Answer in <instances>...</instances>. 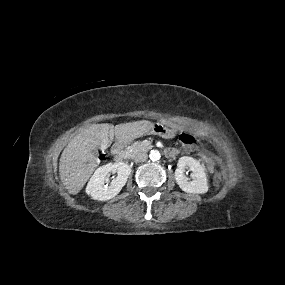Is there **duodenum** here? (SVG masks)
Wrapping results in <instances>:
<instances>
[{"label":"duodenum","mask_w":285,"mask_h":285,"mask_svg":"<svg viewBox=\"0 0 285 285\" xmlns=\"http://www.w3.org/2000/svg\"><path fill=\"white\" fill-rule=\"evenodd\" d=\"M177 154L173 149H165V155L168 158H173ZM113 156L116 162H123L126 159V153L124 150V144L121 142H117L113 147Z\"/></svg>","instance_id":"410a0bca"}]
</instances>
